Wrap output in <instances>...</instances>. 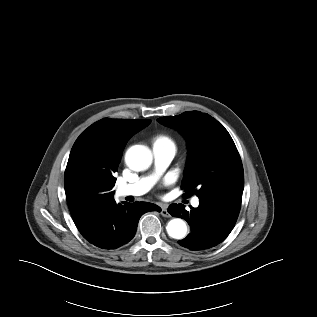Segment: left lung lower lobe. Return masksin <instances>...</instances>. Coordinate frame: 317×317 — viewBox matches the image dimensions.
Here are the masks:
<instances>
[{
	"label": "left lung lower lobe",
	"mask_w": 317,
	"mask_h": 317,
	"mask_svg": "<svg viewBox=\"0 0 317 317\" xmlns=\"http://www.w3.org/2000/svg\"><path fill=\"white\" fill-rule=\"evenodd\" d=\"M199 198V206L186 211L182 204H171L168 212L184 218L191 233L178 241L190 250H205L223 242L232 231L241 207V193L215 192Z\"/></svg>",
	"instance_id": "1"
}]
</instances>
